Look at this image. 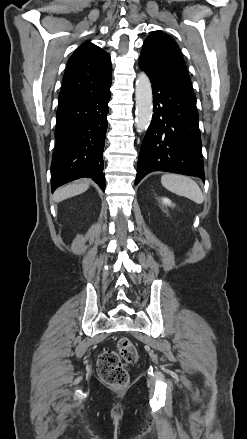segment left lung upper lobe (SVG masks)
Instances as JSON below:
<instances>
[{"instance_id":"5c2ea615","label":"left lung upper lobe","mask_w":247,"mask_h":439,"mask_svg":"<svg viewBox=\"0 0 247 439\" xmlns=\"http://www.w3.org/2000/svg\"><path fill=\"white\" fill-rule=\"evenodd\" d=\"M139 66L149 75L195 97L181 51L175 40L166 33L154 31L148 36L143 44Z\"/></svg>"}]
</instances>
